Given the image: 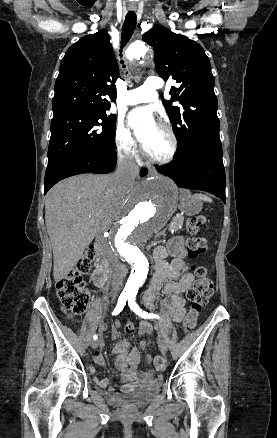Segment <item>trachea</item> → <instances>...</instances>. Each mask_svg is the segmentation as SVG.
<instances>
[{
	"label": "trachea",
	"instance_id": "obj_1",
	"mask_svg": "<svg viewBox=\"0 0 277 438\" xmlns=\"http://www.w3.org/2000/svg\"><path fill=\"white\" fill-rule=\"evenodd\" d=\"M135 28H136L135 11H129L123 23L120 54L122 53V48L127 44V42H129L130 38L132 37ZM121 63H123V61H121ZM123 68H125V65H123Z\"/></svg>",
	"mask_w": 277,
	"mask_h": 438
}]
</instances>
